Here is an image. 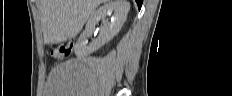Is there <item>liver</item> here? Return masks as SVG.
Masks as SVG:
<instances>
[{
	"instance_id": "6515ba94",
	"label": "liver",
	"mask_w": 232,
	"mask_h": 96,
	"mask_svg": "<svg viewBox=\"0 0 232 96\" xmlns=\"http://www.w3.org/2000/svg\"><path fill=\"white\" fill-rule=\"evenodd\" d=\"M44 42L61 43L74 38L95 9L107 0H38Z\"/></svg>"
}]
</instances>
